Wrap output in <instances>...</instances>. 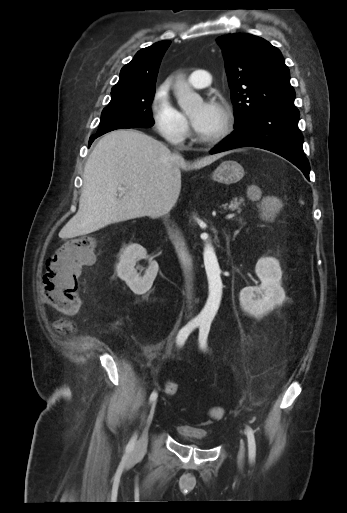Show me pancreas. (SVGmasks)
<instances>
[{
	"label": "pancreas",
	"instance_id": "cf45deb5",
	"mask_svg": "<svg viewBox=\"0 0 347 513\" xmlns=\"http://www.w3.org/2000/svg\"><path fill=\"white\" fill-rule=\"evenodd\" d=\"M224 209H229L230 211H236L237 213H240L242 209L240 208V202L238 201L237 197L233 198L230 202V204H224L222 205ZM242 217H239V221L242 222Z\"/></svg>",
	"mask_w": 347,
	"mask_h": 513
}]
</instances>
